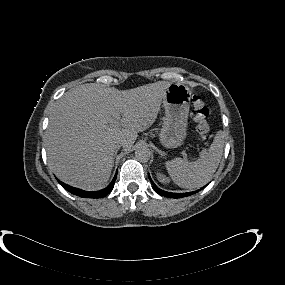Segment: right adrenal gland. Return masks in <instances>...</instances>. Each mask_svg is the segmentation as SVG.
<instances>
[{"label":"right adrenal gland","mask_w":285,"mask_h":285,"mask_svg":"<svg viewBox=\"0 0 285 285\" xmlns=\"http://www.w3.org/2000/svg\"><path fill=\"white\" fill-rule=\"evenodd\" d=\"M118 150H119L118 148L115 150L114 158H113V163H114V159H115V157H116V155H117Z\"/></svg>","instance_id":"obj_1"}]
</instances>
